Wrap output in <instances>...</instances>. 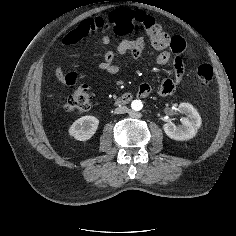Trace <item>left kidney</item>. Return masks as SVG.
I'll use <instances>...</instances> for the list:
<instances>
[{
    "label": "left kidney",
    "instance_id": "5707ae66",
    "mask_svg": "<svg viewBox=\"0 0 236 236\" xmlns=\"http://www.w3.org/2000/svg\"><path fill=\"white\" fill-rule=\"evenodd\" d=\"M179 111L186 115L181 119L182 125L176 126L172 122L163 125L164 132L168 137L177 141L192 139L196 136L202 120L197 110L189 103H180Z\"/></svg>",
    "mask_w": 236,
    "mask_h": 236
}]
</instances>
